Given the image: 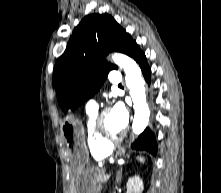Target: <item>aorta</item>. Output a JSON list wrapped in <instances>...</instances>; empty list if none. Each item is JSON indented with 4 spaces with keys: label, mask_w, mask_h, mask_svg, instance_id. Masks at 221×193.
<instances>
[{
    "label": "aorta",
    "mask_w": 221,
    "mask_h": 193,
    "mask_svg": "<svg viewBox=\"0 0 221 193\" xmlns=\"http://www.w3.org/2000/svg\"><path fill=\"white\" fill-rule=\"evenodd\" d=\"M113 62L125 72L126 86L133 101L134 119L132 131L139 135L144 131L149 122L150 110L146 102L145 81L139 65L127 55L115 53Z\"/></svg>",
    "instance_id": "1"
}]
</instances>
